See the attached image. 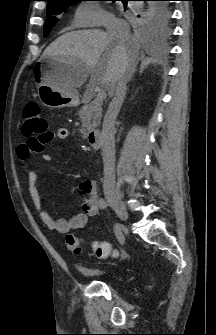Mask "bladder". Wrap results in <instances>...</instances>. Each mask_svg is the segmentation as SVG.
<instances>
[{"label":"bladder","mask_w":216,"mask_h":335,"mask_svg":"<svg viewBox=\"0 0 216 335\" xmlns=\"http://www.w3.org/2000/svg\"><path fill=\"white\" fill-rule=\"evenodd\" d=\"M78 270L89 276H101L105 274V271L99 268H93V267H85V266H80L78 267Z\"/></svg>","instance_id":"1"}]
</instances>
